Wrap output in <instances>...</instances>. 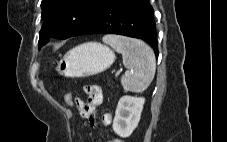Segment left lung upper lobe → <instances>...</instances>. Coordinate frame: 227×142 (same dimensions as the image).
I'll return each instance as SVG.
<instances>
[{"mask_svg":"<svg viewBox=\"0 0 227 142\" xmlns=\"http://www.w3.org/2000/svg\"><path fill=\"white\" fill-rule=\"evenodd\" d=\"M108 0H42L39 48L50 37L67 39L83 27ZM54 33V34H53Z\"/></svg>","mask_w":227,"mask_h":142,"instance_id":"obj_1","label":"left lung upper lobe"}]
</instances>
